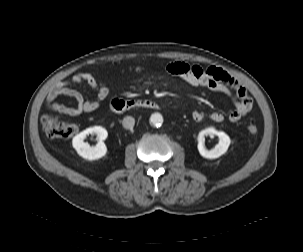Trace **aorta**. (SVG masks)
I'll use <instances>...</instances> for the list:
<instances>
[{"instance_id": "aorta-1", "label": "aorta", "mask_w": 303, "mask_h": 252, "mask_svg": "<svg viewBox=\"0 0 303 252\" xmlns=\"http://www.w3.org/2000/svg\"><path fill=\"white\" fill-rule=\"evenodd\" d=\"M150 123L155 127H160L163 123V117L159 113H154L150 117Z\"/></svg>"}]
</instances>
